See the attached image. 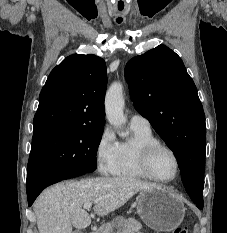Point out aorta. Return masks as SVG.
I'll return each instance as SVG.
<instances>
[{
	"label": "aorta",
	"mask_w": 227,
	"mask_h": 233,
	"mask_svg": "<svg viewBox=\"0 0 227 233\" xmlns=\"http://www.w3.org/2000/svg\"><path fill=\"white\" fill-rule=\"evenodd\" d=\"M123 109V86L119 82H114L105 96V112L107 120L115 128H121L126 122ZM119 135L123 137L125 134L120 132Z\"/></svg>",
	"instance_id": "762f6f07"
}]
</instances>
